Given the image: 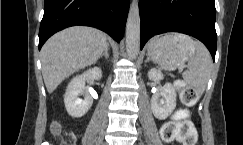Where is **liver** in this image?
Masks as SVG:
<instances>
[{"instance_id": "6515ba94", "label": "liver", "mask_w": 243, "mask_h": 145, "mask_svg": "<svg viewBox=\"0 0 243 145\" xmlns=\"http://www.w3.org/2000/svg\"><path fill=\"white\" fill-rule=\"evenodd\" d=\"M106 45V35L90 27H70L53 35L41 49L47 91L52 93L65 78L95 63Z\"/></svg>"}]
</instances>
